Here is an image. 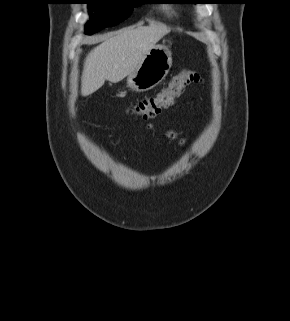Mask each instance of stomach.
<instances>
[{
  "instance_id": "obj_1",
  "label": "stomach",
  "mask_w": 290,
  "mask_h": 321,
  "mask_svg": "<svg viewBox=\"0 0 290 321\" xmlns=\"http://www.w3.org/2000/svg\"><path fill=\"white\" fill-rule=\"evenodd\" d=\"M172 65L171 52L165 45H155L138 68L127 77V85L136 92H145L157 86Z\"/></svg>"
}]
</instances>
